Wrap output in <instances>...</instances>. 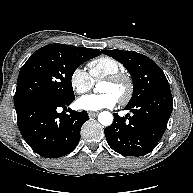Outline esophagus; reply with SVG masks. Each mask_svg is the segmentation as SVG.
<instances>
[{"label":"esophagus","mask_w":193,"mask_h":193,"mask_svg":"<svg viewBox=\"0 0 193 193\" xmlns=\"http://www.w3.org/2000/svg\"><path fill=\"white\" fill-rule=\"evenodd\" d=\"M88 115L90 118H94L98 115V112H89Z\"/></svg>","instance_id":"esophagus-1"}]
</instances>
